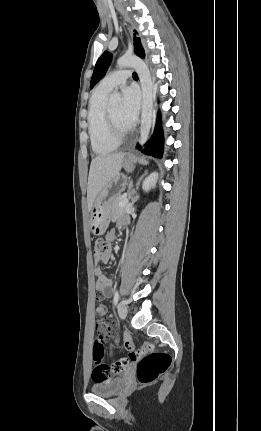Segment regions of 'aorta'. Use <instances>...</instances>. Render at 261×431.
I'll list each match as a JSON object with an SVG mask.
<instances>
[{
	"mask_svg": "<svg viewBox=\"0 0 261 431\" xmlns=\"http://www.w3.org/2000/svg\"><path fill=\"white\" fill-rule=\"evenodd\" d=\"M118 68L132 67L137 72L142 88V114L140 144L143 146L148 139L153 117V84L148 66L144 61L135 56H122L117 60ZM121 100L118 91L110 95V104L117 105Z\"/></svg>",
	"mask_w": 261,
	"mask_h": 431,
	"instance_id": "762f6f07",
	"label": "aorta"
}]
</instances>
